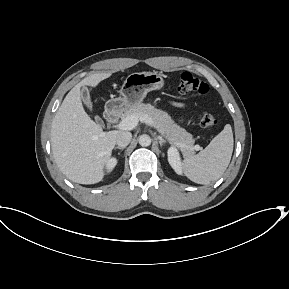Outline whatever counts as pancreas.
Wrapping results in <instances>:
<instances>
[{
	"label": "pancreas",
	"instance_id": "1",
	"mask_svg": "<svg viewBox=\"0 0 289 289\" xmlns=\"http://www.w3.org/2000/svg\"><path fill=\"white\" fill-rule=\"evenodd\" d=\"M131 115H135L138 118L142 116L150 117L155 123L157 130L170 143L178 144L186 152H193L194 139L192 134L176 124L167 112L157 109L151 104L139 103L127 109L123 114V118Z\"/></svg>",
	"mask_w": 289,
	"mask_h": 289
}]
</instances>
